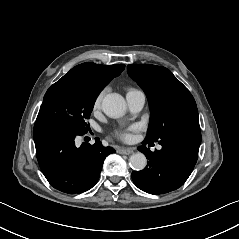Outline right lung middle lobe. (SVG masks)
I'll list each match as a JSON object with an SVG mask.
<instances>
[{
  "label": "right lung middle lobe",
  "mask_w": 239,
  "mask_h": 239,
  "mask_svg": "<svg viewBox=\"0 0 239 239\" xmlns=\"http://www.w3.org/2000/svg\"><path fill=\"white\" fill-rule=\"evenodd\" d=\"M101 89L75 83L64 75L46 92L36 123L58 121L78 133H86L95 100Z\"/></svg>",
  "instance_id": "1"
}]
</instances>
